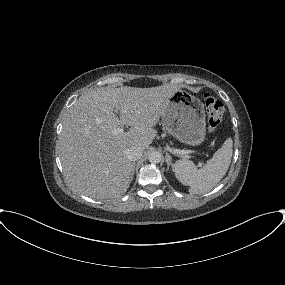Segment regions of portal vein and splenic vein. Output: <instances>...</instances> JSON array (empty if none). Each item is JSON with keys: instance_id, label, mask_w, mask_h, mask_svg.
<instances>
[{"instance_id": "18ae733b", "label": "portal vein and splenic vein", "mask_w": 285, "mask_h": 285, "mask_svg": "<svg viewBox=\"0 0 285 285\" xmlns=\"http://www.w3.org/2000/svg\"><path fill=\"white\" fill-rule=\"evenodd\" d=\"M123 112H126V109H124V110H122ZM124 132V130H123V128H115L114 130H113V133L114 134H120V133H123ZM173 152L174 153H176V154H181V155H184V154H186L187 152L186 151H183V150H173Z\"/></svg>"}]
</instances>
